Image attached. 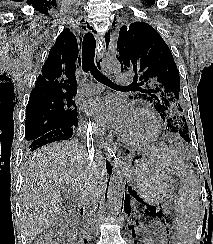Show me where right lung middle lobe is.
<instances>
[{
	"label": "right lung middle lobe",
	"instance_id": "dd1d6c3e",
	"mask_svg": "<svg viewBox=\"0 0 213 244\" xmlns=\"http://www.w3.org/2000/svg\"><path fill=\"white\" fill-rule=\"evenodd\" d=\"M78 126L73 96L47 95L29 98L25 139L31 142L49 131Z\"/></svg>",
	"mask_w": 213,
	"mask_h": 244
}]
</instances>
